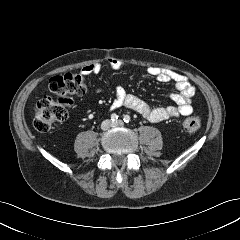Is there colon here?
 <instances>
[{
	"label": "colon",
	"mask_w": 240,
	"mask_h": 240,
	"mask_svg": "<svg viewBox=\"0 0 240 240\" xmlns=\"http://www.w3.org/2000/svg\"><path fill=\"white\" fill-rule=\"evenodd\" d=\"M49 90L54 97L41 98L34 108V128L39 132L48 131L54 124L65 121L72 107L71 95H83L86 92L84 78L77 73H65L54 76L49 81ZM183 130L192 134L201 127V120L197 116L184 119Z\"/></svg>",
	"instance_id": "1"
}]
</instances>
